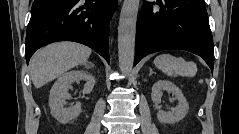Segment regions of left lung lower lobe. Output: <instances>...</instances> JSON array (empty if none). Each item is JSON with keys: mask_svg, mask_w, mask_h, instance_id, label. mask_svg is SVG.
<instances>
[{"mask_svg": "<svg viewBox=\"0 0 239 134\" xmlns=\"http://www.w3.org/2000/svg\"><path fill=\"white\" fill-rule=\"evenodd\" d=\"M144 1L137 23L134 66L145 55L183 49L201 56L213 71V39L204 0Z\"/></svg>", "mask_w": 239, "mask_h": 134, "instance_id": "left-lung-lower-lobe-1", "label": "left lung lower lobe"}]
</instances>
